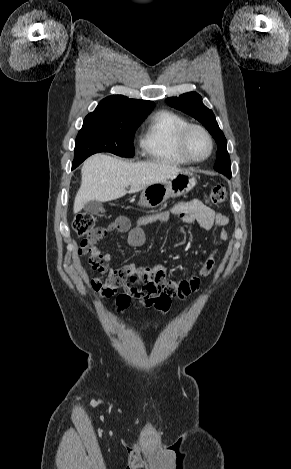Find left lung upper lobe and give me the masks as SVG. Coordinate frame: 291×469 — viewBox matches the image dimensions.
<instances>
[{
	"instance_id": "1",
	"label": "left lung upper lobe",
	"mask_w": 291,
	"mask_h": 469,
	"mask_svg": "<svg viewBox=\"0 0 291 469\" xmlns=\"http://www.w3.org/2000/svg\"><path fill=\"white\" fill-rule=\"evenodd\" d=\"M168 105L189 114L210 132L214 137L217 146V159L214 169L228 178H231V163L227 152V140L219 128L212 110L208 109L202 102V97L196 92H189L179 97L167 98Z\"/></svg>"
}]
</instances>
